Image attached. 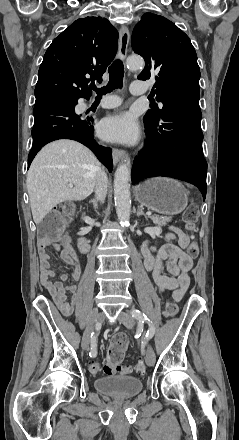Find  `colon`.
I'll return each mask as SVG.
<instances>
[{
	"instance_id": "1",
	"label": "colon",
	"mask_w": 239,
	"mask_h": 440,
	"mask_svg": "<svg viewBox=\"0 0 239 440\" xmlns=\"http://www.w3.org/2000/svg\"><path fill=\"white\" fill-rule=\"evenodd\" d=\"M74 210L72 204H61L54 208L55 215L49 216L42 224L40 229L39 246L47 247L58 237L62 228V222L57 214L71 213ZM198 206L196 204L189 205L184 212V222L186 231L190 235L196 232V222L198 219ZM188 255L195 258L198 255V245L192 241L188 246ZM177 313V306L172 302H167L164 309L166 316H175ZM128 347V338L125 334L118 333L112 337L107 350L106 362L103 366L94 360L89 361L88 369L92 374H114L122 373L129 374L131 369L123 366L122 361ZM146 366L142 360H139L135 366L138 374L145 372Z\"/></svg>"
}]
</instances>
